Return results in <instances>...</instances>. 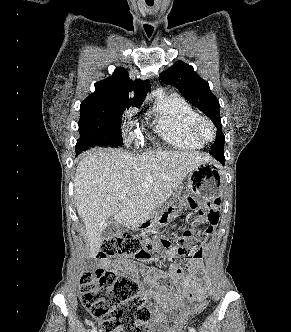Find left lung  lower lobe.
Masks as SVG:
<instances>
[{
  "label": "left lung lower lobe",
  "instance_id": "left-lung-lower-lobe-1",
  "mask_svg": "<svg viewBox=\"0 0 291 332\" xmlns=\"http://www.w3.org/2000/svg\"><path fill=\"white\" fill-rule=\"evenodd\" d=\"M216 159H218L223 165L225 163L224 151H209Z\"/></svg>",
  "mask_w": 291,
  "mask_h": 332
}]
</instances>
